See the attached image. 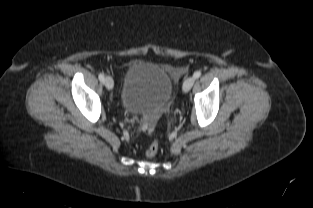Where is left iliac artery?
Instances as JSON below:
<instances>
[{
	"mask_svg": "<svg viewBox=\"0 0 313 208\" xmlns=\"http://www.w3.org/2000/svg\"><path fill=\"white\" fill-rule=\"evenodd\" d=\"M201 76V71H196L194 74H193V77L195 79L199 78Z\"/></svg>",
	"mask_w": 313,
	"mask_h": 208,
	"instance_id": "44dca946",
	"label": "left iliac artery"
}]
</instances>
